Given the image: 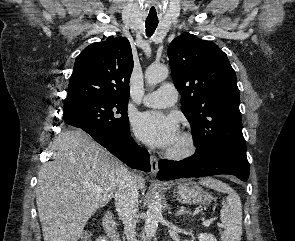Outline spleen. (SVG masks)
<instances>
[{
    "label": "spleen",
    "mask_w": 295,
    "mask_h": 241,
    "mask_svg": "<svg viewBox=\"0 0 295 241\" xmlns=\"http://www.w3.org/2000/svg\"><path fill=\"white\" fill-rule=\"evenodd\" d=\"M199 183L208 188L228 194L220 213L224 228L222 241H240L242 236V204L237 192L228 184L213 178H204Z\"/></svg>",
    "instance_id": "spleen-1"
}]
</instances>
